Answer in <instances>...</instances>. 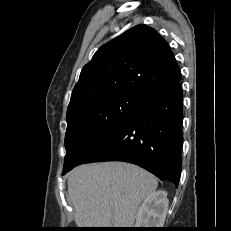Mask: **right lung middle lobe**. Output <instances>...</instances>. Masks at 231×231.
Here are the masks:
<instances>
[{
	"label": "right lung middle lobe",
	"instance_id": "obj_1",
	"mask_svg": "<svg viewBox=\"0 0 231 231\" xmlns=\"http://www.w3.org/2000/svg\"><path fill=\"white\" fill-rule=\"evenodd\" d=\"M139 97L116 95L67 113L63 171L72 168L137 110Z\"/></svg>",
	"mask_w": 231,
	"mask_h": 231
}]
</instances>
